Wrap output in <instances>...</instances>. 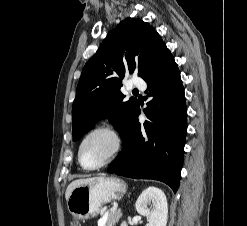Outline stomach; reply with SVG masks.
<instances>
[{
  "label": "stomach",
  "instance_id": "obj_1",
  "mask_svg": "<svg viewBox=\"0 0 247 226\" xmlns=\"http://www.w3.org/2000/svg\"><path fill=\"white\" fill-rule=\"evenodd\" d=\"M126 190V184L116 177H96L78 185L67 200L74 218L71 226H80L79 221L96 217L103 204L119 199Z\"/></svg>",
  "mask_w": 247,
  "mask_h": 226
}]
</instances>
